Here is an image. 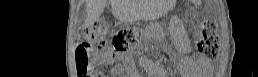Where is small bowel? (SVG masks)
Here are the masks:
<instances>
[{
    "instance_id": "c3829d8e",
    "label": "small bowel",
    "mask_w": 258,
    "mask_h": 77,
    "mask_svg": "<svg viewBox=\"0 0 258 77\" xmlns=\"http://www.w3.org/2000/svg\"><path fill=\"white\" fill-rule=\"evenodd\" d=\"M95 58H96V60H97L98 62H101V60H102V55L96 54V55H95Z\"/></svg>"
}]
</instances>
